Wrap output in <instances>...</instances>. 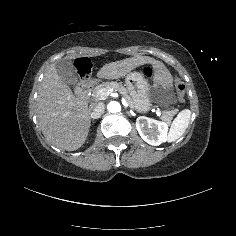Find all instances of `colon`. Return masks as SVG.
Wrapping results in <instances>:
<instances>
[{"mask_svg": "<svg viewBox=\"0 0 236 236\" xmlns=\"http://www.w3.org/2000/svg\"><path fill=\"white\" fill-rule=\"evenodd\" d=\"M143 71H144V74L148 77L152 76V74H153V69L150 66H145ZM175 88L177 91L179 101L183 102L184 95H185V85L180 80H176L175 81Z\"/></svg>", "mask_w": 236, "mask_h": 236, "instance_id": "1", "label": "colon"}]
</instances>
